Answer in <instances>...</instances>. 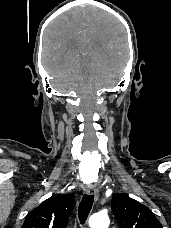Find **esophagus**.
Masks as SVG:
<instances>
[{
	"label": "esophagus",
	"mask_w": 171,
	"mask_h": 228,
	"mask_svg": "<svg viewBox=\"0 0 171 228\" xmlns=\"http://www.w3.org/2000/svg\"><path fill=\"white\" fill-rule=\"evenodd\" d=\"M87 194L89 196H94L96 201L98 200L99 193H98V189L96 188V186L94 184H91V185L88 186Z\"/></svg>",
	"instance_id": "34e87169"
}]
</instances>
